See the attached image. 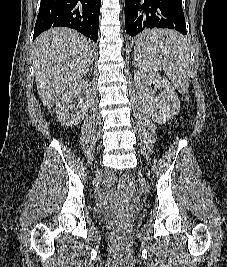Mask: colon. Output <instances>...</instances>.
Returning <instances> with one entry per match:
<instances>
[{
    "instance_id": "5ec220e1",
    "label": "colon",
    "mask_w": 227,
    "mask_h": 267,
    "mask_svg": "<svg viewBox=\"0 0 227 267\" xmlns=\"http://www.w3.org/2000/svg\"><path fill=\"white\" fill-rule=\"evenodd\" d=\"M111 184L116 194H130L135 193L138 190L136 181L128 175L113 179ZM116 241L119 245H121L123 243V236L118 234L116 236Z\"/></svg>"
}]
</instances>
